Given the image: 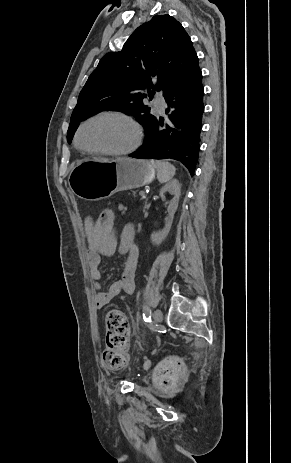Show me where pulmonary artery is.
<instances>
[{
  "label": "pulmonary artery",
  "mask_w": 291,
  "mask_h": 463,
  "mask_svg": "<svg viewBox=\"0 0 291 463\" xmlns=\"http://www.w3.org/2000/svg\"><path fill=\"white\" fill-rule=\"evenodd\" d=\"M154 107L158 112H163L165 107V100L162 96L157 95L154 100Z\"/></svg>",
  "instance_id": "e3ab8cb5"
}]
</instances>
